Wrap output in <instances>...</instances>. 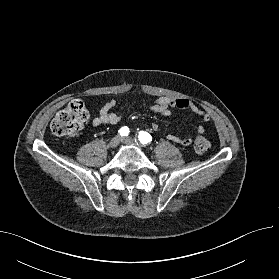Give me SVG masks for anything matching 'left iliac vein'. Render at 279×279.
<instances>
[{
  "label": "left iliac vein",
  "instance_id": "4c4485c4",
  "mask_svg": "<svg viewBox=\"0 0 279 279\" xmlns=\"http://www.w3.org/2000/svg\"><path fill=\"white\" fill-rule=\"evenodd\" d=\"M121 141L127 145H134L140 147L139 143L131 137H124L121 139Z\"/></svg>",
  "mask_w": 279,
  "mask_h": 279
}]
</instances>
